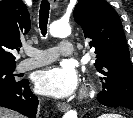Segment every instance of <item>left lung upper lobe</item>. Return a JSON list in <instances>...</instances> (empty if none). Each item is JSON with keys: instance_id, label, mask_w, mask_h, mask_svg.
Masks as SVG:
<instances>
[{"instance_id": "obj_1", "label": "left lung upper lobe", "mask_w": 133, "mask_h": 118, "mask_svg": "<svg viewBox=\"0 0 133 118\" xmlns=\"http://www.w3.org/2000/svg\"><path fill=\"white\" fill-rule=\"evenodd\" d=\"M73 14L97 54L94 65L103 84L98 101L133 110V66L117 12L105 0H78Z\"/></svg>"}]
</instances>
